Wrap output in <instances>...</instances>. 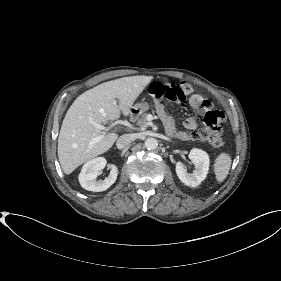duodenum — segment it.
<instances>
[{
	"label": "duodenum",
	"instance_id": "obj_1",
	"mask_svg": "<svg viewBox=\"0 0 281 281\" xmlns=\"http://www.w3.org/2000/svg\"><path fill=\"white\" fill-rule=\"evenodd\" d=\"M134 115H135L134 113H131L130 117H131V118H133V117H134Z\"/></svg>",
	"mask_w": 281,
	"mask_h": 281
}]
</instances>
